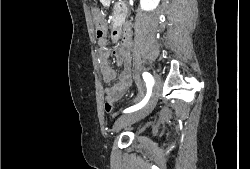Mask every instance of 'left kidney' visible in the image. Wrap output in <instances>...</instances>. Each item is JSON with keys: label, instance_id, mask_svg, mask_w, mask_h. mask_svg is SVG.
<instances>
[{"label": "left kidney", "instance_id": "1", "mask_svg": "<svg viewBox=\"0 0 250 169\" xmlns=\"http://www.w3.org/2000/svg\"><path fill=\"white\" fill-rule=\"evenodd\" d=\"M159 2L160 0H140L143 10H154V8H157Z\"/></svg>", "mask_w": 250, "mask_h": 169}]
</instances>
